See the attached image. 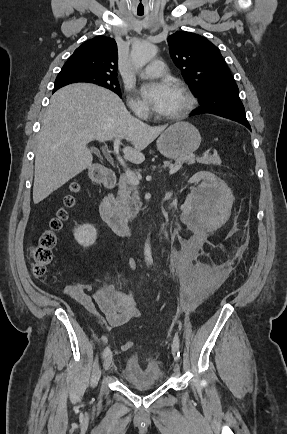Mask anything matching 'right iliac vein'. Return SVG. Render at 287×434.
Wrapping results in <instances>:
<instances>
[{
    "label": "right iliac vein",
    "instance_id": "63e3f726",
    "mask_svg": "<svg viewBox=\"0 0 287 434\" xmlns=\"http://www.w3.org/2000/svg\"><path fill=\"white\" fill-rule=\"evenodd\" d=\"M113 361V354L110 352L105 358L103 362V368L105 371L109 370Z\"/></svg>",
    "mask_w": 287,
    "mask_h": 434
}]
</instances>
